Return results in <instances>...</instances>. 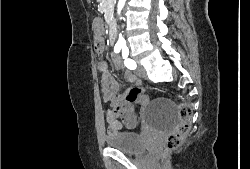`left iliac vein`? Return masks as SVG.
<instances>
[{
    "mask_svg": "<svg viewBox=\"0 0 250 169\" xmlns=\"http://www.w3.org/2000/svg\"><path fill=\"white\" fill-rule=\"evenodd\" d=\"M138 64V68L137 70L135 71V74L141 78H145L146 77V71L145 69L143 68L142 65H140V63H137Z\"/></svg>",
    "mask_w": 250,
    "mask_h": 169,
    "instance_id": "left-iliac-vein-1",
    "label": "left iliac vein"
}]
</instances>
